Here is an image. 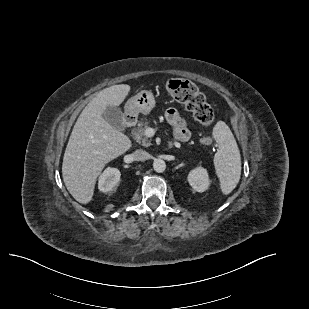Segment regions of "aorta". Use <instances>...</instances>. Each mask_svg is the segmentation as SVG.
Returning a JSON list of instances; mask_svg holds the SVG:
<instances>
[{
    "label": "aorta",
    "mask_w": 309,
    "mask_h": 309,
    "mask_svg": "<svg viewBox=\"0 0 309 309\" xmlns=\"http://www.w3.org/2000/svg\"><path fill=\"white\" fill-rule=\"evenodd\" d=\"M153 168L156 172L162 173L166 169V163L162 159H155L153 162Z\"/></svg>",
    "instance_id": "1"
}]
</instances>
